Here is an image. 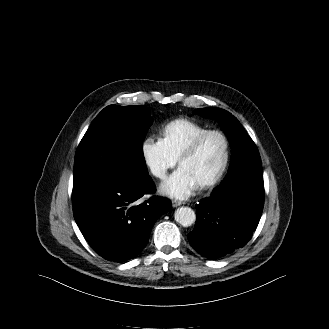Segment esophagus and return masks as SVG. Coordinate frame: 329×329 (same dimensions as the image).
Segmentation results:
<instances>
[{"label": "esophagus", "mask_w": 329, "mask_h": 329, "mask_svg": "<svg viewBox=\"0 0 329 329\" xmlns=\"http://www.w3.org/2000/svg\"><path fill=\"white\" fill-rule=\"evenodd\" d=\"M184 204L183 202L181 201H178V200H172V206L173 207H178L180 205Z\"/></svg>", "instance_id": "1"}]
</instances>
